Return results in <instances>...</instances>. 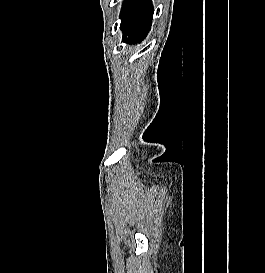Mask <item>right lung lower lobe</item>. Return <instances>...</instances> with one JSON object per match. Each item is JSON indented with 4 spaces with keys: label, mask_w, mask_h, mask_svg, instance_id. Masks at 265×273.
Segmentation results:
<instances>
[{
    "label": "right lung lower lobe",
    "mask_w": 265,
    "mask_h": 273,
    "mask_svg": "<svg viewBox=\"0 0 265 273\" xmlns=\"http://www.w3.org/2000/svg\"><path fill=\"white\" fill-rule=\"evenodd\" d=\"M151 0H125L120 13L124 41H139L147 35L153 19Z\"/></svg>",
    "instance_id": "98d812e1"
}]
</instances>
